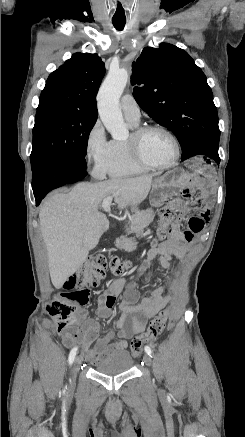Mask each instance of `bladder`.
<instances>
[{
    "mask_svg": "<svg viewBox=\"0 0 245 437\" xmlns=\"http://www.w3.org/2000/svg\"><path fill=\"white\" fill-rule=\"evenodd\" d=\"M133 362L132 355L128 351L123 350L111 353L105 358L98 360L94 363L93 368L102 374L115 375L130 370Z\"/></svg>",
    "mask_w": 245,
    "mask_h": 437,
    "instance_id": "obj_1",
    "label": "bladder"
}]
</instances>
